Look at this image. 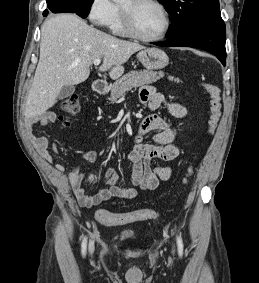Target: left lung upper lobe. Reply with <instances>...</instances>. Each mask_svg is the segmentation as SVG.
Instances as JSON below:
<instances>
[{
  "mask_svg": "<svg viewBox=\"0 0 259 283\" xmlns=\"http://www.w3.org/2000/svg\"><path fill=\"white\" fill-rule=\"evenodd\" d=\"M172 20L169 38L185 35L221 18L219 0H158Z\"/></svg>",
  "mask_w": 259,
  "mask_h": 283,
  "instance_id": "1",
  "label": "left lung upper lobe"
}]
</instances>
